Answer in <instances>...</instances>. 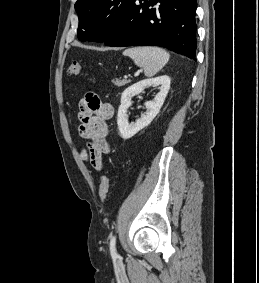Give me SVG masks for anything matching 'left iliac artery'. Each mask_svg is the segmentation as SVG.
<instances>
[{"label": "left iliac artery", "mask_w": 259, "mask_h": 283, "mask_svg": "<svg viewBox=\"0 0 259 283\" xmlns=\"http://www.w3.org/2000/svg\"><path fill=\"white\" fill-rule=\"evenodd\" d=\"M110 253L113 257H117V252H116V237L113 236L110 240Z\"/></svg>", "instance_id": "1"}]
</instances>
